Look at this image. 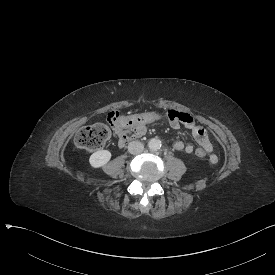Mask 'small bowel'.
Listing matches in <instances>:
<instances>
[{"label":"small bowel","instance_id":"obj_1","mask_svg":"<svg viewBox=\"0 0 275 275\" xmlns=\"http://www.w3.org/2000/svg\"><path fill=\"white\" fill-rule=\"evenodd\" d=\"M169 124L172 129H179L181 125L188 128L199 146L206 152L210 153L211 163L217 162V157L214 155L212 143L207 135L206 130L197 125L193 117L186 112L176 111L175 109L168 110ZM114 133L121 143H125L130 139H136L142 137L146 133L145 123H134L132 125H123L114 128ZM175 150H184L186 153L193 152V145L187 144L182 140H177L172 144Z\"/></svg>","mask_w":275,"mask_h":275}]
</instances>
